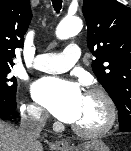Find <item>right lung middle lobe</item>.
I'll return each mask as SVG.
<instances>
[{
    "mask_svg": "<svg viewBox=\"0 0 131 151\" xmlns=\"http://www.w3.org/2000/svg\"><path fill=\"white\" fill-rule=\"evenodd\" d=\"M11 65L0 66V99L15 101L17 81L9 75Z\"/></svg>",
    "mask_w": 131,
    "mask_h": 151,
    "instance_id": "right-lung-middle-lobe-1",
    "label": "right lung middle lobe"
}]
</instances>
